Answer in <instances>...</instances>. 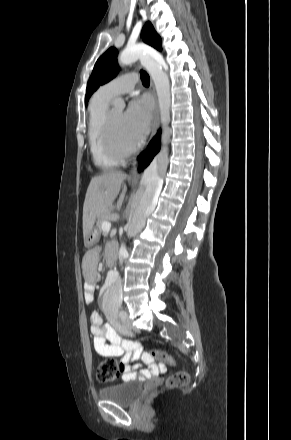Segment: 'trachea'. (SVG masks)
Returning <instances> with one entry per match:
<instances>
[{"instance_id": "1", "label": "trachea", "mask_w": 291, "mask_h": 440, "mask_svg": "<svg viewBox=\"0 0 291 440\" xmlns=\"http://www.w3.org/2000/svg\"><path fill=\"white\" fill-rule=\"evenodd\" d=\"M140 78H141V80H142V84H143L144 86H149V85H150V77H149V75L147 74V72L141 70V71H140Z\"/></svg>"}]
</instances>
